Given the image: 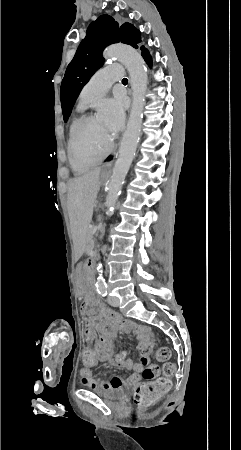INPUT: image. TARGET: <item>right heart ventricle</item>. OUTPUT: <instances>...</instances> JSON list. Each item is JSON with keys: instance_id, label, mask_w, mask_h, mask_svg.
<instances>
[{"instance_id": "right-heart-ventricle-1", "label": "right heart ventricle", "mask_w": 241, "mask_h": 450, "mask_svg": "<svg viewBox=\"0 0 241 450\" xmlns=\"http://www.w3.org/2000/svg\"><path fill=\"white\" fill-rule=\"evenodd\" d=\"M75 121H76V120H74L73 124L75 123ZM108 125L110 126V124H108ZM72 126H73V125H72ZM71 128H72V127H71ZM70 136H71V135H70ZM69 144H70V142H69ZM70 153H71V150L69 149V155H70ZM70 158H72V157L70 156ZM80 159H81V157L78 158V162H75V163L73 162V163H74L75 165L81 163V162H80Z\"/></svg>"}]
</instances>
